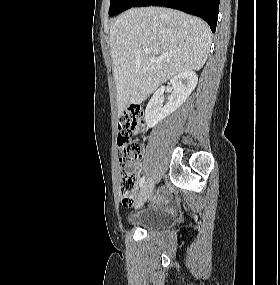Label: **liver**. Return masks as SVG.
Listing matches in <instances>:
<instances>
[{
	"mask_svg": "<svg viewBox=\"0 0 280 285\" xmlns=\"http://www.w3.org/2000/svg\"><path fill=\"white\" fill-rule=\"evenodd\" d=\"M211 42L205 22L177 10L132 8L120 15L110 28L118 113L128 104L142 103L178 73L200 70ZM166 54L161 61H151Z\"/></svg>",
	"mask_w": 280,
	"mask_h": 285,
	"instance_id": "6515ba94",
	"label": "liver"
}]
</instances>
